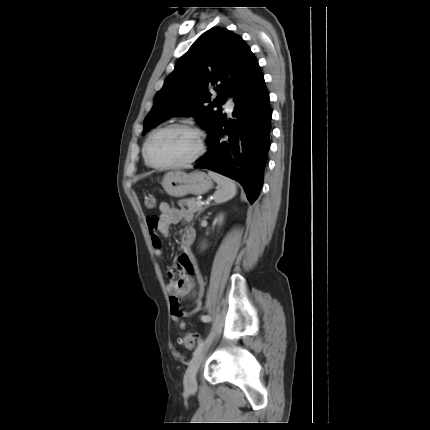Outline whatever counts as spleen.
<instances>
[{"instance_id":"3e777b00","label":"spleen","mask_w":430,"mask_h":430,"mask_svg":"<svg viewBox=\"0 0 430 430\" xmlns=\"http://www.w3.org/2000/svg\"><path fill=\"white\" fill-rule=\"evenodd\" d=\"M208 174L219 186L213 195L215 203H224L236 195L237 187L233 180L213 171H208Z\"/></svg>"}]
</instances>
